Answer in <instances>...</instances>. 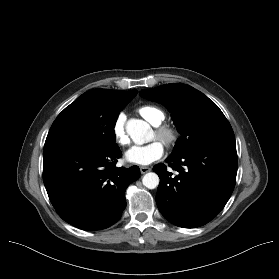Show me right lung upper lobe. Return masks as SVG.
Returning <instances> with one entry per match:
<instances>
[{
    "mask_svg": "<svg viewBox=\"0 0 279 279\" xmlns=\"http://www.w3.org/2000/svg\"><path fill=\"white\" fill-rule=\"evenodd\" d=\"M85 94L100 103L117 104L123 102H130L136 96L137 91L94 89L86 92Z\"/></svg>",
    "mask_w": 279,
    "mask_h": 279,
    "instance_id": "1",
    "label": "right lung upper lobe"
}]
</instances>
